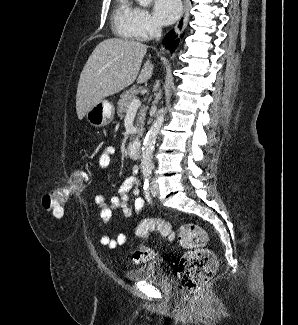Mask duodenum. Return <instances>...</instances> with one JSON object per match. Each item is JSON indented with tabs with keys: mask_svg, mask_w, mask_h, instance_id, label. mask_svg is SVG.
I'll return each mask as SVG.
<instances>
[{
	"mask_svg": "<svg viewBox=\"0 0 298 325\" xmlns=\"http://www.w3.org/2000/svg\"><path fill=\"white\" fill-rule=\"evenodd\" d=\"M128 152L132 158H139L142 152V143L139 140L131 141L128 145Z\"/></svg>",
	"mask_w": 298,
	"mask_h": 325,
	"instance_id": "410a0bca",
	"label": "duodenum"
}]
</instances>
